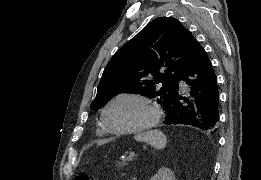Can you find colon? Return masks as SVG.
<instances>
[{"label":"colon","mask_w":261,"mask_h":180,"mask_svg":"<svg viewBox=\"0 0 261 180\" xmlns=\"http://www.w3.org/2000/svg\"><path fill=\"white\" fill-rule=\"evenodd\" d=\"M75 180H89V175L86 173H78L75 176Z\"/></svg>","instance_id":"1"}]
</instances>
